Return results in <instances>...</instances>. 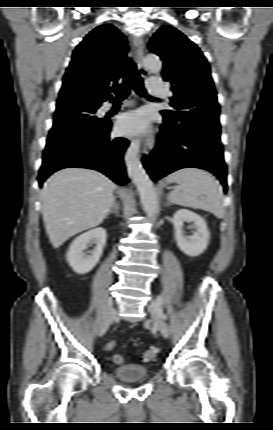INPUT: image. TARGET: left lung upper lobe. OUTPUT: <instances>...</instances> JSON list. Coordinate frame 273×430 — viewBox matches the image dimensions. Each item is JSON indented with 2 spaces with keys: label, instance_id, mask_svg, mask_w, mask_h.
Returning <instances> with one entry per match:
<instances>
[{
  "label": "left lung upper lobe",
  "instance_id": "5c2ea615",
  "mask_svg": "<svg viewBox=\"0 0 273 430\" xmlns=\"http://www.w3.org/2000/svg\"><path fill=\"white\" fill-rule=\"evenodd\" d=\"M149 50L163 61V79L172 84L173 110L162 113L178 124L201 114L219 116L211 71L200 49L172 26L161 27L151 38Z\"/></svg>",
  "mask_w": 273,
  "mask_h": 430
}]
</instances>
